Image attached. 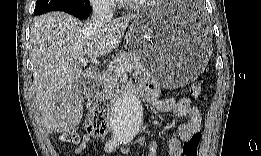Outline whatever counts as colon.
<instances>
[{
    "instance_id": "obj_1",
    "label": "colon",
    "mask_w": 261,
    "mask_h": 156,
    "mask_svg": "<svg viewBox=\"0 0 261 156\" xmlns=\"http://www.w3.org/2000/svg\"><path fill=\"white\" fill-rule=\"evenodd\" d=\"M202 92V83L195 82L190 87V94L197 97ZM108 108L107 106H98L94 108L87 117L86 130L94 137H100L108 132ZM59 140L63 143L78 144L80 135L77 131L70 130L60 133ZM201 142V133H194L183 145L184 156H197Z\"/></svg>"
}]
</instances>
